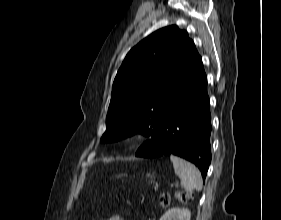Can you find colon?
Listing matches in <instances>:
<instances>
[{
	"label": "colon",
	"mask_w": 281,
	"mask_h": 220,
	"mask_svg": "<svg viewBox=\"0 0 281 220\" xmlns=\"http://www.w3.org/2000/svg\"><path fill=\"white\" fill-rule=\"evenodd\" d=\"M177 198L179 201L187 203L192 200L193 195L191 192L181 191L177 193ZM159 202L161 205H168L170 202V195L166 192L161 193L159 196ZM108 220H122V219L120 217H114Z\"/></svg>",
	"instance_id": "5ec220e1"
}]
</instances>
